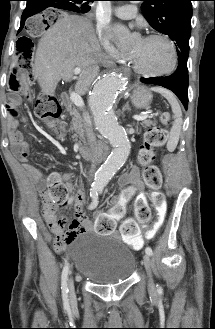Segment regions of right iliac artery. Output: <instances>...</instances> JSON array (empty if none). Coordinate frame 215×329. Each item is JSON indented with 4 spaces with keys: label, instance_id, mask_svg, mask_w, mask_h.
Listing matches in <instances>:
<instances>
[{
    "label": "right iliac artery",
    "instance_id": "1",
    "mask_svg": "<svg viewBox=\"0 0 215 329\" xmlns=\"http://www.w3.org/2000/svg\"><path fill=\"white\" fill-rule=\"evenodd\" d=\"M98 190L92 188L90 190V196L92 198V202L89 205V209L92 210L97 207L98 205ZM68 273H69V264L65 263L63 271H62V276H61V289H62V298L64 302V306L66 308L69 307L68 303V287H67V279H68Z\"/></svg>",
    "mask_w": 215,
    "mask_h": 329
}]
</instances>
